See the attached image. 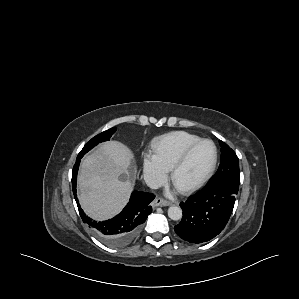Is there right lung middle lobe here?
<instances>
[{"label":"right lung middle lobe","mask_w":299,"mask_h":299,"mask_svg":"<svg viewBox=\"0 0 299 299\" xmlns=\"http://www.w3.org/2000/svg\"><path fill=\"white\" fill-rule=\"evenodd\" d=\"M116 129L115 128H111L107 131H104L100 134H98L97 136L93 137L81 150L80 154H85L87 153L91 148H93L94 146H96L98 143L103 142V141H107L109 140V138L112 136V134L114 133Z\"/></svg>","instance_id":"dd1d6c3e"}]
</instances>
